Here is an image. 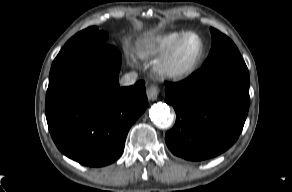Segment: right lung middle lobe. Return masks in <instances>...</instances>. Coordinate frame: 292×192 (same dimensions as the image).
<instances>
[{
	"label": "right lung middle lobe",
	"instance_id": "dd1d6c3e",
	"mask_svg": "<svg viewBox=\"0 0 292 192\" xmlns=\"http://www.w3.org/2000/svg\"><path fill=\"white\" fill-rule=\"evenodd\" d=\"M107 37L106 32L98 31L97 27H89L73 36L63 48L106 44Z\"/></svg>",
	"mask_w": 292,
	"mask_h": 192
}]
</instances>
